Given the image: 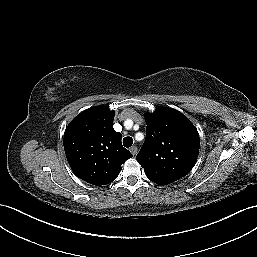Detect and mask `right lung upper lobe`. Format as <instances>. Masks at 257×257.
<instances>
[{
  "label": "right lung upper lobe",
  "instance_id": "right-lung-upper-lobe-1",
  "mask_svg": "<svg viewBox=\"0 0 257 257\" xmlns=\"http://www.w3.org/2000/svg\"><path fill=\"white\" fill-rule=\"evenodd\" d=\"M114 111L95 106L78 114L64 132V150L77 177L106 185L117 178L121 165L133 155L122 146V134L113 129Z\"/></svg>",
  "mask_w": 257,
  "mask_h": 257
}]
</instances>
